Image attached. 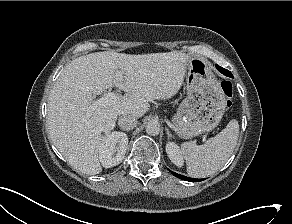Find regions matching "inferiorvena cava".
<instances>
[{
	"label": "inferior vena cava",
	"instance_id": "1",
	"mask_svg": "<svg viewBox=\"0 0 292 224\" xmlns=\"http://www.w3.org/2000/svg\"><path fill=\"white\" fill-rule=\"evenodd\" d=\"M118 125L123 130H131L134 129L137 125V118L130 114H122L118 118Z\"/></svg>",
	"mask_w": 292,
	"mask_h": 224
}]
</instances>
